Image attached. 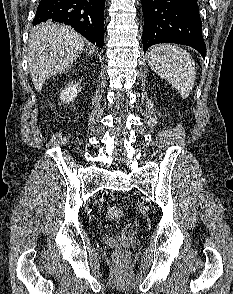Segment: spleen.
Listing matches in <instances>:
<instances>
[{
  "label": "spleen",
  "mask_w": 233,
  "mask_h": 294,
  "mask_svg": "<svg viewBox=\"0 0 233 294\" xmlns=\"http://www.w3.org/2000/svg\"><path fill=\"white\" fill-rule=\"evenodd\" d=\"M151 69L170 83L186 99L196 79L195 62L181 47L160 44L151 47L147 53Z\"/></svg>",
  "instance_id": "spleen-1"
}]
</instances>
